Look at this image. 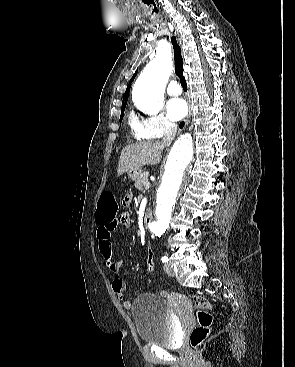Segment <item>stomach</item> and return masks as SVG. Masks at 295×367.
Returning a JSON list of instances; mask_svg holds the SVG:
<instances>
[{"instance_id": "1", "label": "stomach", "mask_w": 295, "mask_h": 367, "mask_svg": "<svg viewBox=\"0 0 295 367\" xmlns=\"http://www.w3.org/2000/svg\"><path fill=\"white\" fill-rule=\"evenodd\" d=\"M141 175H142V169L141 168H134V169L128 171L129 178L134 180V181L138 180Z\"/></svg>"}]
</instances>
